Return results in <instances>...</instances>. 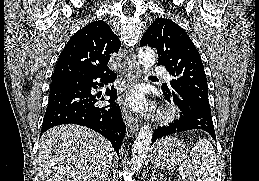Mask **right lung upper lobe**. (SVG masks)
<instances>
[{"label":"right lung upper lobe","instance_id":"1","mask_svg":"<svg viewBox=\"0 0 259 181\" xmlns=\"http://www.w3.org/2000/svg\"><path fill=\"white\" fill-rule=\"evenodd\" d=\"M120 45L107 23L102 20L89 23L70 38L59 55L51 85L108 70V61L118 53Z\"/></svg>","mask_w":259,"mask_h":181}]
</instances>
